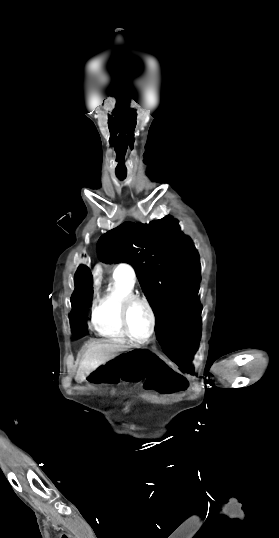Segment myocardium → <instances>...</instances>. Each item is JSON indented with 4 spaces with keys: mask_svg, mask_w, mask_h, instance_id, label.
<instances>
[{
    "mask_svg": "<svg viewBox=\"0 0 279 538\" xmlns=\"http://www.w3.org/2000/svg\"><path fill=\"white\" fill-rule=\"evenodd\" d=\"M96 229H93V231H95ZM87 236L89 234L88 231H85ZM134 304H142L144 305L148 312H149V315H150V320H151V327H150V332L148 334V336L145 338V339H137L136 337H134V335L131 333L130 331V328H129V323H128V312H129V309L131 308L132 305ZM119 320H120V324H121V327L124 331V333L126 334V336L131 340L133 341L134 343L136 344H146L148 342H150V340L153 338L154 334H155V331H156V326H157V318H156V313L154 311V308L152 306V304L150 303V301L145 298V297H141L139 295H136V294H131L129 296H127L121 306H120V309H119Z\"/></svg>",
    "mask_w": 279,
    "mask_h": 538,
    "instance_id": "f54148a6",
    "label": "myocardium"
}]
</instances>
